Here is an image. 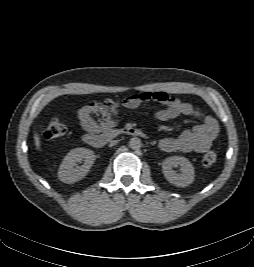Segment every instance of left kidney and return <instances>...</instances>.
<instances>
[{"label": "left kidney", "mask_w": 254, "mask_h": 267, "mask_svg": "<svg viewBox=\"0 0 254 267\" xmlns=\"http://www.w3.org/2000/svg\"><path fill=\"white\" fill-rule=\"evenodd\" d=\"M176 166H180L181 173H177L173 170V167ZM162 168L165 178L175 186L187 187L194 181V167L185 157H168L163 161Z\"/></svg>", "instance_id": "obj_1"}]
</instances>
